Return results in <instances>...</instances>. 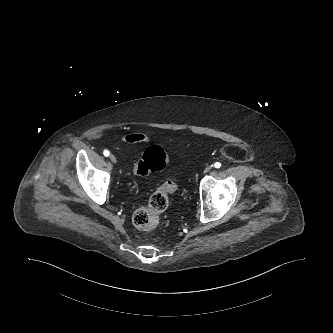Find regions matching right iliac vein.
<instances>
[{"label": "right iliac vein", "mask_w": 333, "mask_h": 333, "mask_svg": "<svg viewBox=\"0 0 333 333\" xmlns=\"http://www.w3.org/2000/svg\"><path fill=\"white\" fill-rule=\"evenodd\" d=\"M110 160L113 162V163H116L117 162V158L115 155L111 154L110 155Z\"/></svg>", "instance_id": "obj_1"}]
</instances>
